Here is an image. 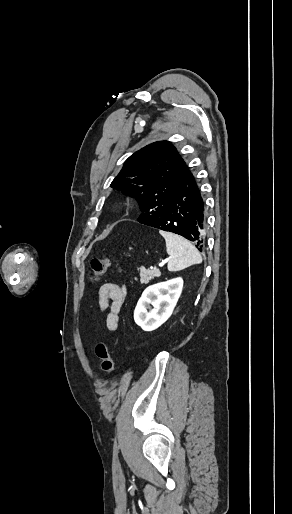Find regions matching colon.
Wrapping results in <instances>:
<instances>
[{
  "label": "colon",
  "mask_w": 292,
  "mask_h": 514,
  "mask_svg": "<svg viewBox=\"0 0 292 514\" xmlns=\"http://www.w3.org/2000/svg\"><path fill=\"white\" fill-rule=\"evenodd\" d=\"M111 259L104 255L99 258H93L90 263L89 277L92 282L98 281L109 269ZM96 356L99 360L102 371L109 375H114L116 368L110 351L108 341H100L96 345Z\"/></svg>",
  "instance_id": "colon-1"
}]
</instances>
